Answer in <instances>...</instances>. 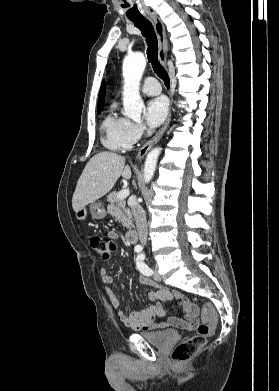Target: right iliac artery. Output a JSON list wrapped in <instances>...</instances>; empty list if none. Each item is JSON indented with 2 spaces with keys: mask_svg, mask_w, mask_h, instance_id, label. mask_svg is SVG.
I'll list each match as a JSON object with an SVG mask.
<instances>
[{
  "mask_svg": "<svg viewBox=\"0 0 279 391\" xmlns=\"http://www.w3.org/2000/svg\"><path fill=\"white\" fill-rule=\"evenodd\" d=\"M141 250H142V248H140V247H136L135 248V251L138 252V253L141 252Z\"/></svg>",
  "mask_w": 279,
  "mask_h": 391,
  "instance_id": "obj_1",
  "label": "right iliac artery"
}]
</instances>
